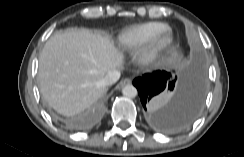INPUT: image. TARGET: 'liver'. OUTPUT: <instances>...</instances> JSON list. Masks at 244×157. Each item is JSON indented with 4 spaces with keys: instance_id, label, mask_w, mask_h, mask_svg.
<instances>
[{
    "instance_id": "liver-1",
    "label": "liver",
    "mask_w": 244,
    "mask_h": 157,
    "mask_svg": "<svg viewBox=\"0 0 244 157\" xmlns=\"http://www.w3.org/2000/svg\"><path fill=\"white\" fill-rule=\"evenodd\" d=\"M122 63V54L108 36L70 28L44 45L39 56L40 91L59 114L73 116L106 93L103 79Z\"/></svg>"
}]
</instances>
